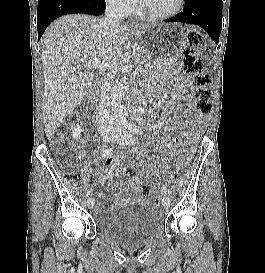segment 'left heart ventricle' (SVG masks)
<instances>
[{
    "instance_id": "b2bd125f",
    "label": "left heart ventricle",
    "mask_w": 265,
    "mask_h": 273,
    "mask_svg": "<svg viewBox=\"0 0 265 273\" xmlns=\"http://www.w3.org/2000/svg\"><path fill=\"white\" fill-rule=\"evenodd\" d=\"M145 8L157 14H164L174 10L179 0H143Z\"/></svg>"
}]
</instances>
